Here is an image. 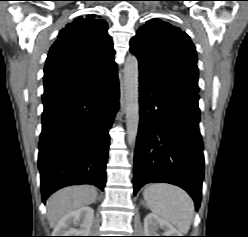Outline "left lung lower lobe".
I'll list each match as a JSON object with an SVG mask.
<instances>
[{
	"label": "left lung lower lobe",
	"mask_w": 248,
	"mask_h": 237,
	"mask_svg": "<svg viewBox=\"0 0 248 237\" xmlns=\"http://www.w3.org/2000/svg\"><path fill=\"white\" fill-rule=\"evenodd\" d=\"M139 82L134 194L147 183H170L186 190L198 210L204 177L199 95L167 90L143 77Z\"/></svg>",
	"instance_id": "1"
}]
</instances>
